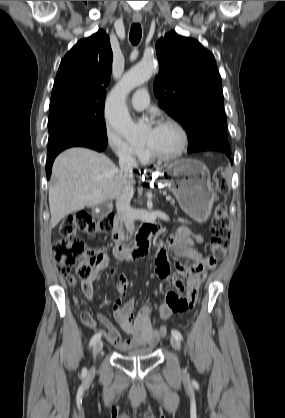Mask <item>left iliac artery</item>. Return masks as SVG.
I'll return each mask as SVG.
<instances>
[{
  "instance_id": "left-iliac-artery-1",
  "label": "left iliac artery",
  "mask_w": 285,
  "mask_h": 418,
  "mask_svg": "<svg viewBox=\"0 0 285 418\" xmlns=\"http://www.w3.org/2000/svg\"><path fill=\"white\" fill-rule=\"evenodd\" d=\"M171 334L173 337L177 338L178 340H182V334L178 330L172 329Z\"/></svg>"
}]
</instances>
